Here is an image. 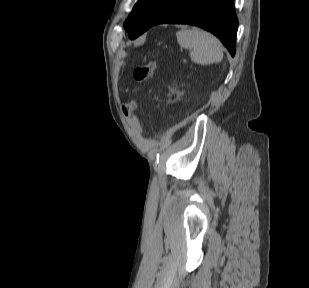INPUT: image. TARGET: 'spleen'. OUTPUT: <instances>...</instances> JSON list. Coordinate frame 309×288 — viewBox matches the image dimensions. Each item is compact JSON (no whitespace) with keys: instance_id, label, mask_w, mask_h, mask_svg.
I'll list each match as a JSON object with an SVG mask.
<instances>
[{"instance_id":"3e777b00","label":"spleen","mask_w":309,"mask_h":288,"mask_svg":"<svg viewBox=\"0 0 309 288\" xmlns=\"http://www.w3.org/2000/svg\"><path fill=\"white\" fill-rule=\"evenodd\" d=\"M181 47L190 49V56L194 63L210 65L219 63L223 58L220 41L210 33L198 28L184 29L176 33Z\"/></svg>"}]
</instances>
